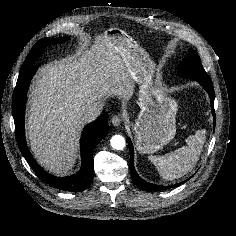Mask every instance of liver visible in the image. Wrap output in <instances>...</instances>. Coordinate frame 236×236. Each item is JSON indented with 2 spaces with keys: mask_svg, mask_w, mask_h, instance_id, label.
I'll return each mask as SVG.
<instances>
[{
  "mask_svg": "<svg viewBox=\"0 0 236 236\" xmlns=\"http://www.w3.org/2000/svg\"><path fill=\"white\" fill-rule=\"evenodd\" d=\"M132 80L105 35L96 36L90 50L41 67L30 90L26 125L40 165L53 174H67L77 158L83 108L108 97L127 100Z\"/></svg>",
  "mask_w": 236,
  "mask_h": 236,
  "instance_id": "liver-1",
  "label": "liver"
}]
</instances>
